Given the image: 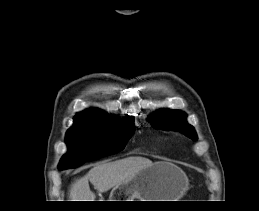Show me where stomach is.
<instances>
[{
    "instance_id": "1",
    "label": "stomach",
    "mask_w": 259,
    "mask_h": 211,
    "mask_svg": "<svg viewBox=\"0 0 259 211\" xmlns=\"http://www.w3.org/2000/svg\"><path fill=\"white\" fill-rule=\"evenodd\" d=\"M187 189V178L173 164L156 162L115 186L111 201H177Z\"/></svg>"
}]
</instances>
